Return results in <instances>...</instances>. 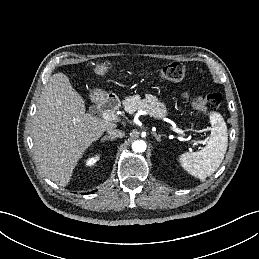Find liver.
I'll return each instance as SVG.
<instances>
[{"mask_svg":"<svg viewBox=\"0 0 259 259\" xmlns=\"http://www.w3.org/2000/svg\"><path fill=\"white\" fill-rule=\"evenodd\" d=\"M117 125L85 113V102L63 73L43 88L33 119L34 155L42 172L59 186L69 184L79 159Z\"/></svg>","mask_w":259,"mask_h":259,"instance_id":"obj_1","label":"liver"}]
</instances>
